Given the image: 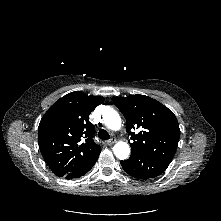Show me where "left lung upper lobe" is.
I'll use <instances>...</instances> for the list:
<instances>
[{"instance_id":"5c2ea615","label":"left lung upper lobe","mask_w":221,"mask_h":221,"mask_svg":"<svg viewBox=\"0 0 221 221\" xmlns=\"http://www.w3.org/2000/svg\"><path fill=\"white\" fill-rule=\"evenodd\" d=\"M112 101L126 119L127 132L133 140L131 156L171 162L180 137L173 112L145 95L114 97Z\"/></svg>"}]
</instances>
